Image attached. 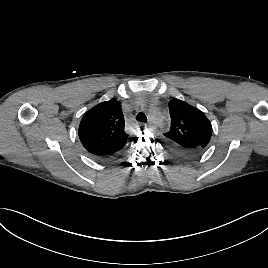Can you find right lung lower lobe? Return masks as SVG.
<instances>
[{"label":"right lung lower lobe","mask_w":268,"mask_h":268,"mask_svg":"<svg viewBox=\"0 0 268 268\" xmlns=\"http://www.w3.org/2000/svg\"><path fill=\"white\" fill-rule=\"evenodd\" d=\"M112 156H100V157H98V158H100V159H109V158H111Z\"/></svg>","instance_id":"obj_1"}]
</instances>
